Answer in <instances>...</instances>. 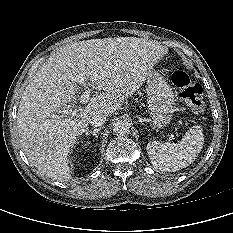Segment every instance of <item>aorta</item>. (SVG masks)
I'll list each match as a JSON object with an SVG mask.
<instances>
[{
    "label": "aorta",
    "instance_id": "obj_1",
    "mask_svg": "<svg viewBox=\"0 0 233 233\" xmlns=\"http://www.w3.org/2000/svg\"><path fill=\"white\" fill-rule=\"evenodd\" d=\"M130 127L127 120H117L113 123V132L117 136H126L130 132Z\"/></svg>",
    "mask_w": 233,
    "mask_h": 233
}]
</instances>
